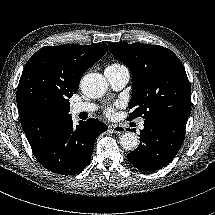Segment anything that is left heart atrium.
<instances>
[{
    "label": "left heart atrium",
    "mask_w": 215,
    "mask_h": 215,
    "mask_svg": "<svg viewBox=\"0 0 215 215\" xmlns=\"http://www.w3.org/2000/svg\"><path fill=\"white\" fill-rule=\"evenodd\" d=\"M105 114L108 117H112L114 115V108H112V107L107 108L106 111H105Z\"/></svg>",
    "instance_id": "1"
}]
</instances>
